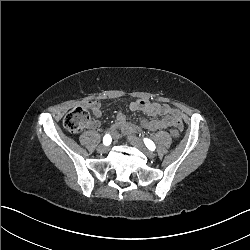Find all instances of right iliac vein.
Wrapping results in <instances>:
<instances>
[{
	"label": "right iliac vein",
	"instance_id": "1",
	"mask_svg": "<svg viewBox=\"0 0 250 250\" xmlns=\"http://www.w3.org/2000/svg\"><path fill=\"white\" fill-rule=\"evenodd\" d=\"M98 150L100 152H102V153H105V152L108 151V147L106 145H104V144H101V145L98 146Z\"/></svg>",
	"mask_w": 250,
	"mask_h": 250
}]
</instances>
